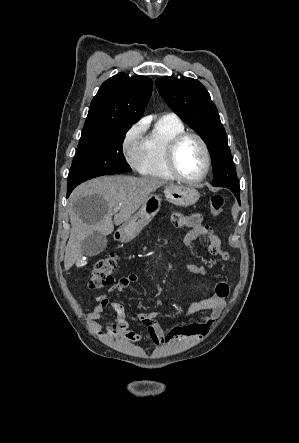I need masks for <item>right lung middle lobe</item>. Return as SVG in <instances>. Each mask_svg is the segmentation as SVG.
Listing matches in <instances>:
<instances>
[{
  "instance_id": "obj_1",
  "label": "right lung middle lobe",
  "mask_w": 299,
  "mask_h": 443,
  "mask_svg": "<svg viewBox=\"0 0 299 443\" xmlns=\"http://www.w3.org/2000/svg\"><path fill=\"white\" fill-rule=\"evenodd\" d=\"M131 126L112 125L82 133L67 187L102 175L132 171L122 151L123 139Z\"/></svg>"
}]
</instances>
